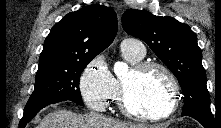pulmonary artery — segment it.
Listing matches in <instances>:
<instances>
[{
    "instance_id": "obj_1",
    "label": "pulmonary artery",
    "mask_w": 221,
    "mask_h": 128,
    "mask_svg": "<svg viewBox=\"0 0 221 128\" xmlns=\"http://www.w3.org/2000/svg\"><path fill=\"white\" fill-rule=\"evenodd\" d=\"M121 50L132 51L138 57H143L145 55L144 43L136 38H125L121 43Z\"/></svg>"
}]
</instances>
